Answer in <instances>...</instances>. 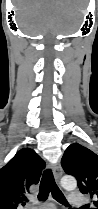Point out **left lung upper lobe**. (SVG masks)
Wrapping results in <instances>:
<instances>
[{"label": "left lung upper lobe", "mask_w": 98, "mask_h": 209, "mask_svg": "<svg viewBox=\"0 0 98 209\" xmlns=\"http://www.w3.org/2000/svg\"><path fill=\"white\" fill-rule=\"evenodd\" d=\"M61 165L66 174L77 179L81 193L89 194L98 207V155L74 143L65 150ZM86 209H89L88 206Z\"/></svg>", "instance_id": "obj_1"}]
</instances>
